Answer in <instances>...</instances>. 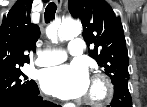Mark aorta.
<instances>
[{
    "label": "aorta",
    "instance_id": "1",
    "mask_svg": "<svg viewBox=\"0 0 147 107\" xmlns=\"http://www.w3.org/2000/svg\"><path fill=\"white\" fill-rule=\"evenodd\" d=\"M82 32V25L78 21L66 20L62 22L58 29L57 35L52 37L53 42L70 40Z\"/></svg>",
    "mask_w": 147,
    "mask_h": 107
}]
</instances>
